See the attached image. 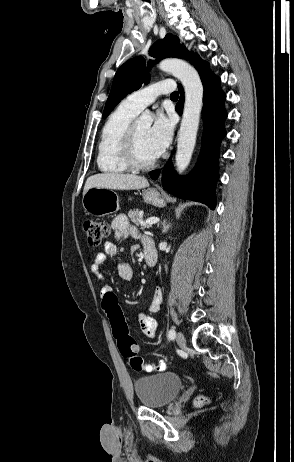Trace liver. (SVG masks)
<instances>
[{"label":"liver","instance_id":"1","mask_svg":"<svg viewBox=\"0 0 294 462\" xmlns=\"http://www.w3.org/2000/svg\"><path fill=\"white\" fill-rule=\"evenodd\" d=\"M145 177L134 174L100 173L90 176L84 186L83 195L92 187L117 190H133L148 187Z\"/></svg>","mask_w":294,"mask_h":462}]
</instances>
